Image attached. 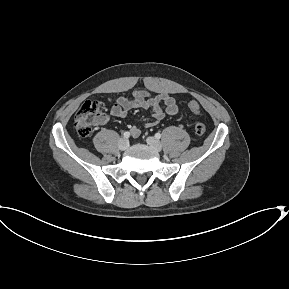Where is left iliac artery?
<instances>
[{"mask_svg":"<svg viewBox=\"0 0 289 289\" xmlns=\"http://www.w3.org/2000/svg\"><path fill=\"white\" fill-rule=\"evenodd\" d=\"M155 137H156L157 139H160V138H161V134H160V133H156V134H155Z\"/></svg>","mask_w":289,"mask_h":289,"instance_id":"obj_1","label":"left iliac artery"}]
</instances>
